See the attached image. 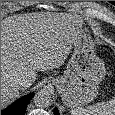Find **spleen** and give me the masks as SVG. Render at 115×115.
I'll return each mask as SVG.
<instances>
[{
  "label": "spleen",
  "mask_w": 115,
  "mask_h": 115,
  "mask_svg": "<svg viewBox=\"0 0 115 115\" xmlns=\"http://www.w3.org/2000/svg\"><path fill=\"white\" fill-rule=\"evenodd\" d=\"M71 115H115V97L108 102H99L85 108L72 109Z\"/></svg>",
  "instance_id": "1"
}]
</instances>
